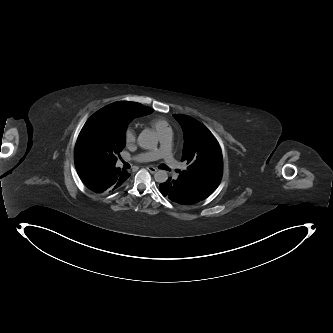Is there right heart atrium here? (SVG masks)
Here are the masks:
<instances>
[{
    "label": "right heart atrium",
    "instance_id": "1",
    "mask_svg": "<svg viewBox=\"0 0 333 333\" xmlns=\"http://www.w3.org/2000/svg\"><path fill=\"white\" fill-rule=\"evenodd\" d=\"M136 139V132L132 127H128L125 129L123 133V140L126 146H131Z\"/></svg>",
    "mask_w": 333,
    "mask_h": 333
}]
</instances>
